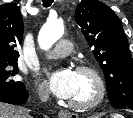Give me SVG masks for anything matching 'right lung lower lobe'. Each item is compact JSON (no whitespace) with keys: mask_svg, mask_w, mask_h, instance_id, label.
Wrapping results in <instances>:
<instances>
[{"mask_svg":"<svg viewBox=\"0 0 133 118\" xmlns=\"http://www.w3.org/2000/svg\"><path fill=\"white\" fill-rule=\"evenodd\" d=\"M28 98V92L25 85L9 90H0V102L21 105L26 102Z\"/></svg>","mask_w":133,"mask_h":118,"instance_id":"obj_1","label":"right lung lower lobe"}]
</instances>
